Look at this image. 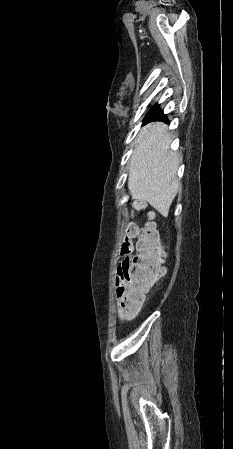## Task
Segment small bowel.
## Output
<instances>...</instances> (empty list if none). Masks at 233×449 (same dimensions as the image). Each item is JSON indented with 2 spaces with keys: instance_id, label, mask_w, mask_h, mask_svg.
I'll list each match as a JSON object with an SVG mask.
<instances>
[{
  "instance_id": "c3829d8e",
  "label": "small bowel",
  "mask_w": 233,
  "mask_h": 449,
  "mask_svg": "<svg viewBox=\"0 0 233 449\" xmlns=\"http://www.w3.org/2000/svg\"><path fill=\"white\" fill-rule=\"evenodd\" d=\"M115 288H116V295L118 298H124L125 300L128 297L130 291L128 274L123 268L120 267V264L117 268V273L115 277Z\"/></svg>"
}]
</instances>
